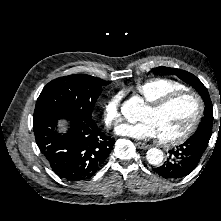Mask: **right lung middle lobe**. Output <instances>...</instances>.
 Returning a JSON list of instances; mask_svg holds the SVG:
<instances>
[{
    "label": "right lung middle lobe",
    "instance_id": "right-lung-middle-lobe-1",
    "mask_svg": "<svg viewBox=\"0 0 221 221\" xmlns=\"http://www.w3.org/2000/svg\"><path fill=\"white\" fill-rule=\"evenodd\" d=\"M110 81L74 74L49 82L42 90L36 105H49L70 116L86 122H94L92 112L102 92V86Z\"/></svg>",
    "mask_w": 221,
    "mask_h": 221
}]
</instances>
